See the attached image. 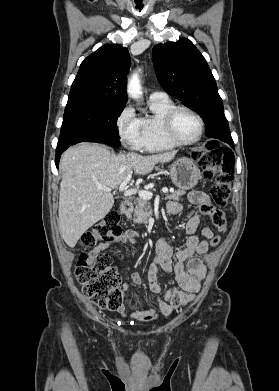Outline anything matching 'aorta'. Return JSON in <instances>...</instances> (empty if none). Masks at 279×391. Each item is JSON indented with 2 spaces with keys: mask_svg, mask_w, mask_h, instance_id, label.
Here are the masks:
<instances>
[{
  "mask_svg": "<svg viewBox=\"0 0 279 391\" xmlns=\"http://www.w3.org/2000/svg\"><path fill=\"white\" fill-rule=\"evenodd\" d=\"M127 92H128V95L135 100H138L141 97L142 88H141L138 73H134L131 76V79L129 80V83H128Z\"/></svg>",
  "mask_w": 279,
  "mask_h": 391,
  "instance_id": "aorta-1",
  "label": "aorta"
}]
</instances>
